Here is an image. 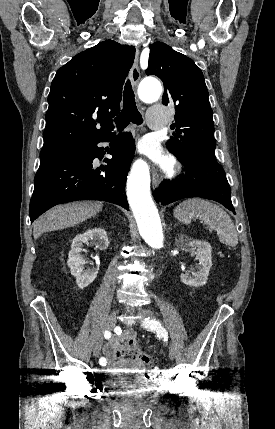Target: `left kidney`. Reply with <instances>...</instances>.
I'll return each instance as SVG.
<instances>
[{
    "label": "left kidney",
    "mask_w": 275,
    "mask_h": 429,
    "mask_svg": "<svg viewBox=\"0 0 275 429\" xmlns=\"http://www.w3.org/2000/svg\"><path fill=\"white\" fill-rule=\"evenodd\" d=\"M178 247H192L196 250L197 264L196 272H185L180 275L181 282L193 287H200L207 283L209 271L212 267L211 245L201 240H191L186 235H180L176 238Z\"/></svg>",
    "instance_id": "1"
}]
</instances>
